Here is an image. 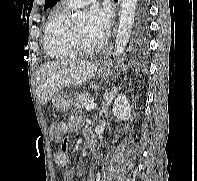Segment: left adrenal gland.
Masks as SVG:
<instances>
[{
  "mask_svg": "<svg viewBox=\"0 0 197 181\" xmlns=\"http://www.w3.org/2000/svg\"><path fill=\"white\" fill-rule=\"evenodd\" d=\"M117 94V88L113 87L111 91H106L104 94L103 102H102V110L100 111V115L102 113L106 114L111 104L112 100L115 98Z\"/></svg>",
  "mask_w": 197,
  "mask_h": 181,
  "instance_id": "a2214340",
  "label": "left adrenal gland"
}]
</instances>
